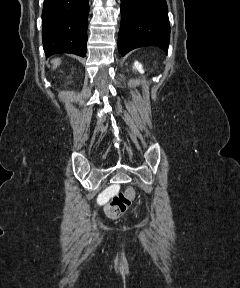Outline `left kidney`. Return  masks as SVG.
<instances>
[{
    "instance_id": "1",
    "label": "left kidney",
    "mask_w": 240,
    "mask_h": 288,
    "mask_svg": "<svg viewBox=\"0 0 240 288\" xmlns=\"http://www.w3.org/2000/svg\"><path fill=\"white\" fill-rule=\"evenodd\" d=\"M134 69H136L138 72H140L141 74L144 73V70H143V67L142 65L138 62V61H135L134 63Z\"/></svg>"
}]
</instances>
